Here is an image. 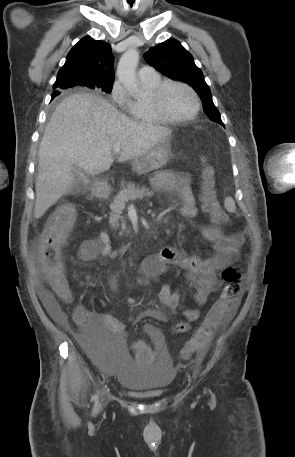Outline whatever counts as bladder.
Listing matches in <instances>:
<instances>
[{"instance_id":"bladder-1","label":"bladder","mask_w":295,"mask_h":457,"mask_svg":"<svg viewBox=\"0 0 295 457\" xmlns=\"http://www.w3.org/2000/svg\"><path fill=\"white\" fill-rule=\"evenodd\" d=\"M124 338H79L82 356H90L102 369L117 377L121 386L145 397L160 396L173 380L172 358L165 345H155L153 366H132Z\"/></svg>"}]
</instances>
